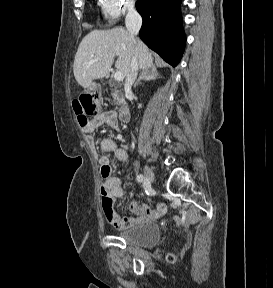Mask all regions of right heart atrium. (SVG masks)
<instances>
[{
  "instance_id": "obj_1",
  "label": "right heart atrium",
  "mask_w": 273,
  "mask_h": 288,
  "mask_svg": "<svg viewBox=\"0 0 273 288\" xmlns=\"http://www.w3.org/2000/svg\"><path fill=\"white\" fill-rule=\"evenodd\" d=\"M100 5L105 18L114 22L126 12L135 8L134 0H100Z\"/></svg>"
}]
</instances>
